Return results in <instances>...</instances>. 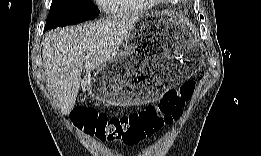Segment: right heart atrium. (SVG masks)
<instances>
[{
  "label": "right heart atrium",
  "mask_w": 261,
  "mask_h": 156,
  "mask_svg": "<svg viewBox=\"0 0 261 156\" xmlns=\"http://www.w3.org/2000/svg\"><path fill=\"white\" fill-rule=\"evenodd\" d=\"M101 4H104V1H101Z\"/></svg>",
  "instance_id": "obj_1"
}]
</instances>
